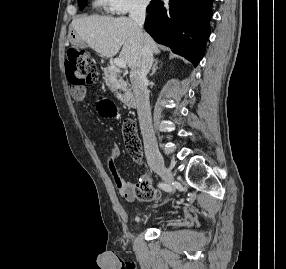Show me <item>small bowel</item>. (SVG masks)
<instances>
[{
  "instance_id": "c3829d8e",
  "label": "small bowel",
  "mask_w": 286,
  "mask_h": 269,
  "mask_svg": "<svg viewBox=\"0 0 286 269\" xmlns=\"http://www.w3.org/2000/svg\"><path fill=\"white\" fill-rule=\"evenodd\" d=\"M111 93H121V88H111ZM85 89L84 88H77L75 90H71V95L76 101H83L85 99ZM120 157V149L117 145L109 146L106 149V163L107 167L115 181L117 190L119 194L124 197L128 201H134L135 200V194H134V184L130 183L126 180H124L120 172L118 170V167L116 165V160ZM141 176H139L137 179H139Z\"/></svg>"
}]
</instances>
